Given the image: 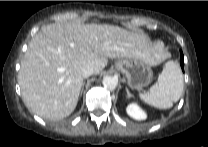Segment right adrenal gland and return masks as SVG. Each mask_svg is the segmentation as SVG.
Wrapping results in <instances>:
<instances>
[{"mask_svg":"<svg viewBox=\"0 0 208 147\" xmlns=\"http://www.w3.org/2000/svg\"><path fill=\"white\" fill-rule=\"evenodd\" d=\"M84 85H85V82H83V84H82V89H81V93H80V96H81V94H82V92H83V89H84Z\"/></svg>","mask_w":208,"mask_h":147,"instance_id":"2a0ac1e0","label":"right adrenal gland"}]
</instances>
